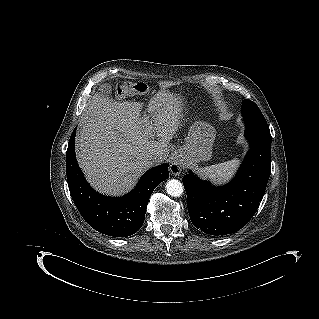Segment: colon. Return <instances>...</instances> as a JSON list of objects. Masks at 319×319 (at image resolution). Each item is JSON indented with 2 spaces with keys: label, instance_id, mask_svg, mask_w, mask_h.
<instances>
[{
  "label": "colon",
  "instance_id": "1",
  "mask_svg": "<svg viewBox=\"0 0 319 319\" xmlns=\"http://www.w3.org/2000/svg\"><path fill=\"white\" fill-rule=\"evenodd\" d=\"M149 91L150 87L144 82H122L116 86V93L119 97L145 94Z\"/></svg>",
  "mask_w": 319,
  "mask_h": 319
}]
</instances>
